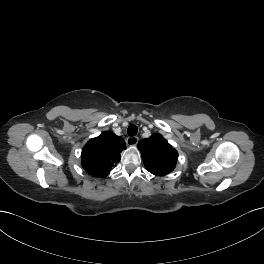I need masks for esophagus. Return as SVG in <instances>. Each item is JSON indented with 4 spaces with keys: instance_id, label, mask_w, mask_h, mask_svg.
Segmentation results:
<instances>
[{
    "instance_id": "1",
    "label": "esophagus",
    "mask_w": 264,
    "mask_h": 264,
    "mask_svg": "<svg viewBox=\"0 0 264 264\" xmlns=\"http://www.w3.org/2000/svg\"><path fill=\"white\" fill-rule=\"evenodd\" d=\"M139 138L137 136H130L127 138L126 142L130 146H134L138 143Z\"/></svg>"
}]
</instances>
